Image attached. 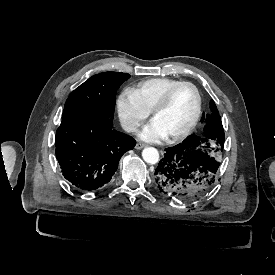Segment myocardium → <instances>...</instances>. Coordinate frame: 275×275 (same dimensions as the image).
I'll list each match as a JSON object with an SVG mask.
<instances>
[{"label": "myocardium", "instance_id": "obj_1", "mask_svg": "<svg viewBox=\"0 0 275 275\" xmlns=\"http://www.w3.org/2000/svg\"><path fill=\"white\" fill-rule=\"evenodd\" d=\"M181 85H190L194 89L196 98H197L196 111L192 120L189 122V124L185 128L167 136L171 140L179 139L188 135L198 123L202 113V95L198 86L191 81L183 80V81H178L174 83L173 85H171L166 89V91L164 92V94L162 95V97L159 99V101L157 102V104L152 110V120H154V117L156 116L157 113L162 111L167 106L173 92Z\"/></svg>", "mask_w": 275, "mask_h": 275}]
</instances>
